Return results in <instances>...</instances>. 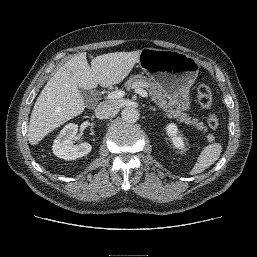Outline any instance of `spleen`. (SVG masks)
I'll list each match as a JSON object with an SVG mask.
<instances>
[{"label":"spleen","instance_id":"3e777b00","mask_svg":"<svg viewBox=\"0 0 257 257\" xmlns=\"http://www.w3.org/2000/svg\"><path fill=\"white\" fill-rule=\"evenodd\" d=\"M222 152V146L219 143H213L206 146L200 153L197 162L190 171V175H196L203 172L218 160Z\"/></svg>","mask_w":257,"mask_h":257}]
</instances>
